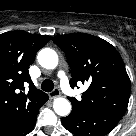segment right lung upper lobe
<instances>
[{
	"label": "right lung upper lobe",
	"mask_w": 136,
	"mask_h": 136,
	"mask_svg": "<svg viewBox=\"0 0 136 136\" xmlns=\"http://www.w3.org/2000/svg\"><path fill=\"white\" fill-rule=\"evenodd\" d=\"M49 40L22 30L0 34V136L24 130L48 97L34 86L28 69Z\"/></svg>",
	"instance_id": "cb5924a9"
}]
</instances>
